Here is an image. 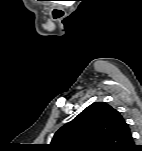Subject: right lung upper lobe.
Returning a JSON list of instances; mask_svg holds the SVG:
<instances>
[{"label": "right lung upper lobe", "instance_id": "obj_1", "mask_svg": "<svg viewBox=\"0 0 142 151\" xmlns=\"http://www.w3.org/2000/svg\"><path fill=\"white\" fill-rule=\"evenodd\" d=\"M133 146L128 124L104 102L88 106L61 127L50 144L54 151H130Z\"/></svg>", "mask_w": 142, "mask_h": 151}]
</instances>
